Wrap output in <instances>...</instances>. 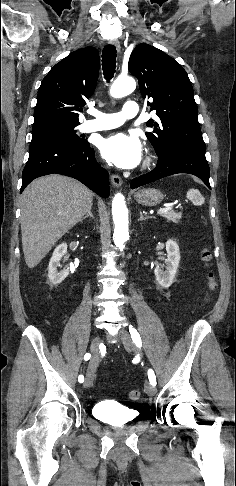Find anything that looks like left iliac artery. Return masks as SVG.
I'll return each mask as SVG.
<instances>
[{"label": "left iliac artery", "instance_id": "1", "mask_svg": "<svg viewBox=\"0 0 236 486\" xmlns=\"http://www.w3.org/2000/svg\"><path fill=\"white\" fill-rule=\"evenodd\" d=\"M129 332L131 334V338H132L133 342L138 347H140L142 345V341H141V337H140V334L138 333V331L132 325H130L129 326ZM148 378H149L150 383L153 386H155L156 385V377H155L154 371L152 369L148 370Z\"/></svg>", "mask_w": 236, "mask_h": 486}]
</instances>
